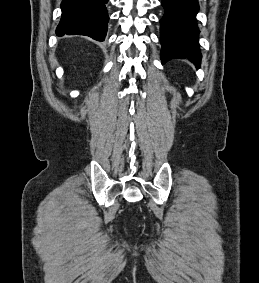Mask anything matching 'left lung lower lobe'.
Listing matches in <instances>:
<instances>
[{
  "instance_id": "obj_1",
  "label": "left lung lower lobe",
  "mask_w": 259,
  "mask_h": 283,
  "mask_svg": "<svg viewBox=\"0 0 259 283\" xmlns=\"http://www.w3.org/2000/svg\"><path fill=\"white\" fill-rule=\"evenodd\" d=\"M162 6L165 9L160 21L162 64L172 59H188L199 68L202 55L196 22L198 0H162Z\"/></svg>"
}]
</instances>
